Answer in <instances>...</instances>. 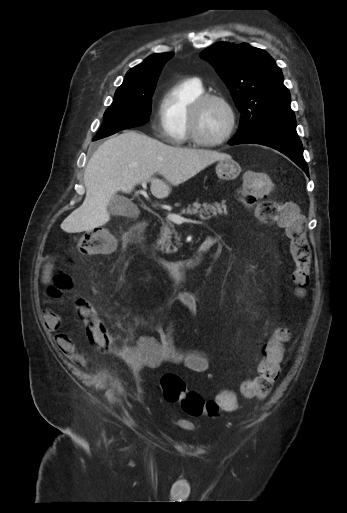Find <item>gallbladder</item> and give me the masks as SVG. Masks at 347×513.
<instances>
[{
  "mask_svg": "<svg viewBox=\"0 0 347 513\" xmlns=\"http://www.w3.org/2000/svg\"><path fill=\"white\" fill-rule=\"evenodd\" d=\"M108 210L114 216L136 217L139 214L137 206L123 196H114L108 204Z\"/></svg>",
  "mask_w": 347,
  "mask_h": 513,
  "instance_id": "gallbladder-1",
  "label": "gallbladder"
}]
</instances>
